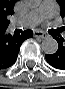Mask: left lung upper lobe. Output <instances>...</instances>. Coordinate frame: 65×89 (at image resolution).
Returning <instances> with one entry per match:
<instances>
[{"mask_svg":"<svg viewBox=\"0 0 65 89\" xmlns=\"http://www.w3.org/2000/svg\"><path fill=\"white\" fill-rule=\"evenodd\" d=\"M57 2L61 7V15L65 17V0H57Z\"/></svg>","mask_w":65,"mask_h":89,"instance_id":"obj_1","label":"left lung upper lobe"}]
</instances>
